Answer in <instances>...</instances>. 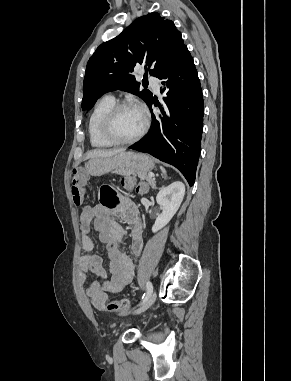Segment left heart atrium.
Here are the masks:
<instances>
[{
    "label": "left heart atrium",
    "mask_w": 291,
    "mask_h": 381,
    "mask_svg": "<svg viewBox=\"0 0 291 381\" xmlns=\"http://www.w3.org/2000/svg\"><path fill=\"white\" fill-rule=\"evenodd\" d=\"M138 109L140 110V112L143 114L144 113V109L142 107H138Z\"/></svg>",
    "instance_id": "obj_1"
}]
</instances>
